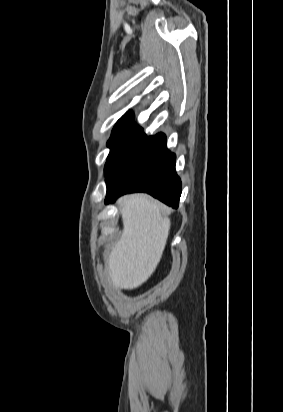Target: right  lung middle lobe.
<instances>
[{"label": "right lung middle lobe", "instance_id": "1", "mask_svg": "<svg viewBox=\"0 0 283 412\" xmlns=\"http://www.w3.org/2000/svg\"><path fill=\"white\" fill-rule=\"evenodd\" d=\"M145 136L143 128L134 123V115H125L118 120L107 142L110 153L104 169L105 175L108 176L124 157L138 147Z\"/></svg>", "mask_w": 283, "mask_h": 412}]
</instances>
